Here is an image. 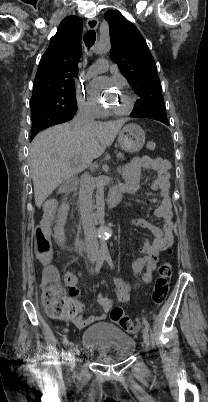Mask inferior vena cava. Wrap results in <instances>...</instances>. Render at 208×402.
Here are the masks:
<instances>
[{"mask_svg": "<svg viewBox=\"0 0 208 402\" xmlns=\"http://www.w3.org/2000/svg\"><path fill=\"white\" fill-rule=\"evenodd\" d=\"M94 104H84L80 106L77 116L72 120V126L83 128L87 124H93L94 118L91 114ZM94 190L93 178L90 174H82L79 188V212L84 230L86 246H98L97 236L94 226V216L92 210V194Z\"/></svg>", "mask_w": 208, "mask_h": 402, "instance_id": "obj_1", "label": "inferior vena cava"}]
</instances>
